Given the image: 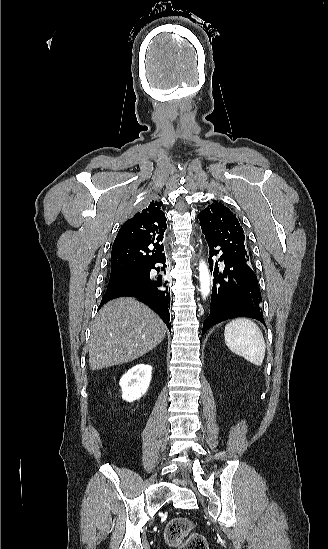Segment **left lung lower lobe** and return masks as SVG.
<instances>
[{"label": "left lung lower lobe", "mask_w": 328, "mask_h": 549, "mask_svg": "<svg viewBox=\"0 0 328 549\" xmlns=\"http://www.w3.org/2000/svg\"><path fill=\"white\" fill-rule=\"evenodd\" d=\"M208 246L213 288L210 314L204 321L203 333L209 327L229 318L249 317L265 324L260 311L261 293L253 270L222 250H215V246ZM218 254L219 259L213 261L212 257ZM219 261H224V269H219Z\"/></svg>", "instance_id": "1"}]
</instances>
